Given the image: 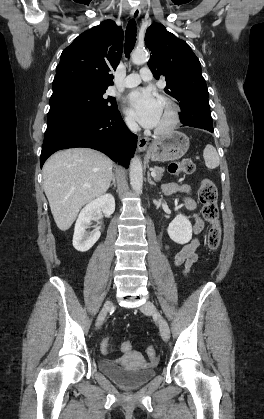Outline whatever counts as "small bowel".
<instances>
[{
    "label": "small bowel",
    "mask_w": 264,
    "mask_h": 419,
    "mask_svg": "<svg viewBox=\"0 0 264 419\" xmlns=\"http://www.w3.org/2000/svg\"><path fill=\"white\" fill-rule=\"evenodd\" d=\"M163 189L165 193L170 195L177 193L183 194L182 200L185 207L190 211L195 210L196 203L194 199L190 196V187L187 184L170 183L166 184ZM193 217L195 219L193 231L195 234H198L203 229L204 224L203 221L196 214H193ZM198 247L199 240L197 237H194L189 243L185 244L181 248V250L173 256L174 265L177 267L183 266V272L185 274L188 273L191 267L198 261V254L196 252ZM125 343H128V341L124 342L123 344ZM130 350L131 348L125 349L123 346H121V351L123 353L127 354L130 352ZM103 352L108 354L111 352V350Z\"/></svg>",
    "instance_id": "c3829d8e"
}]
</instances>
